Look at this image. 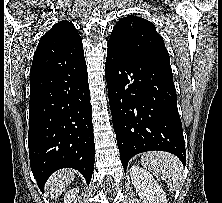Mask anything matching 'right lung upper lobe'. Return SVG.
Masks as SVG:
<instances>
[{
    "label": "right lung upper lobe",
    "instance_id": "right-lung-upper-lobe-1",
    "mask_svg": "<svg viewBox=\"0 0 222 203\" xmlns=\"http://www.w3.org/2000/svg\"><path fill=\"white\" fill-rule=\"evenodd\" d=\"M86 63L81 37L73 23L61 21L40 39L30 74Z\"/></svg>",
    "mask_w": 222,
    "mask_h": 203
}]
</instances>
